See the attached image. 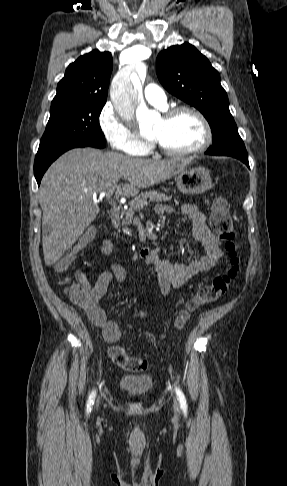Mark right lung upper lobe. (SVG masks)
I'll return each instance as SVG.
<instances>
[{
	"label": "right lung upper lobe",
	"mask_w": 287,
	"mask_h": 486,
	"mask_svg": "<svg viewBox=\"0 0 287 486\" xmlns=\"http://www.w3.org/2000/svg\"><path fill=\"white\" fill-rule=\"evenodd\" d=\"M113 62L109 52H92L70 64L57 85L51 107L82 101H105Z\"/></svg>",
	"instance_id": "1"
}]
</instances>
